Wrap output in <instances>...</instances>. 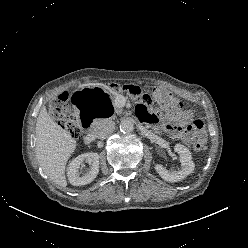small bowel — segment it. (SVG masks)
<instances>
[{
  "instance_id": "small-bowel-1",
  "label": "small bowel",
  "mask_w": 248,
  "mask_h": 248,
  "mask_svg": "<svg viewBox=\"0 0 248 248\" xmlns=\"http://www.w3.org/2000/svg\"><path fill=\"white\" fill-rule=\"evenodd\" d=\"M136 115L139 119L152 124L157 129H164L170 135L181 139L188 145L206 138L203 129L197 130L192 126L189 113L173 116L172 123H162L159 114L140 104L136 108Z\"/></svg>"
}]
</instances>
